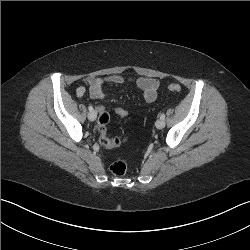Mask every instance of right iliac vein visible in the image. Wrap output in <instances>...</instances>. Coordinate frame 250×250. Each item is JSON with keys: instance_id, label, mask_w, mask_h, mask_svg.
<instances>
[{"instance_id": "1", "label": "right iliac vein", "mask_w": 250, "mask_h": 250, "mask_svg": "<svg viewBox=\"0 0 250 250\" xmlns=\"http://www.w3.org/2000/svg\"><path fill=\"white\" fill-rule=\"evenodd\" d=\"M96 117H97V113L95 112V111H90L89 113H88V119L90 120V121H94L95 119H96Z\"/></svg>"}]
</instances>
